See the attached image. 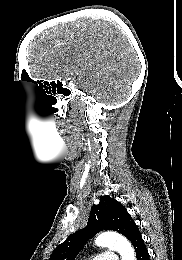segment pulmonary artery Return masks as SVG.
<instances>
[{
	"instance_id": "1",
	"label": "pulmonary artery",
	"mask_w": 182,
	"mask_h": 260,
	"mask_svg": "<svg viewBox=\"0 0 182 260\" xmlns=\"http://www.w3.org/2000/svg\"><path fill=\"white\" fill-rule=\"evenodd\" d=\"M93 260H118L117 256L112 252H104L93 258Z\"/></svg>"
}]
</instances>
